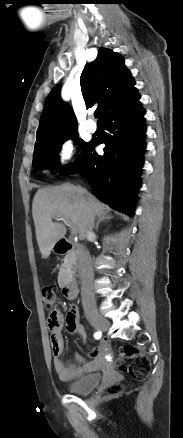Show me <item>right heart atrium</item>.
<instances>
[{"label": "right heart atrium", "mask_w": 183, "mask_h": 438, "mask_svg": "<svg viewBox=\"0 0 183 438\" xmlns=\"http://www.w3.org/2000/svg\"><path fill=\"white\" fill-rule=\"evenodd\" d=\"M78 156V144L72 137L65 138L58 149V164L62 168H68L76 163Z\"/></svg>", "instance_id": "1"}]
</instances>
